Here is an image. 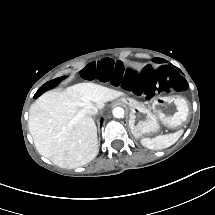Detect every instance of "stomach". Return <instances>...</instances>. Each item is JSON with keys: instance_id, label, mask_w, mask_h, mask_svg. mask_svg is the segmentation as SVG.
<instances>
[{"instance_id": "1", "label": "stomach", "mask_w": 215, "mask_h": 215, "mask_svg": "<svg viewBox=\"0 0 215 215\" xmlns=\"http://www.w3.org/2000/svg\"><path fill=\"white\" fill-rule=\"evenodd\" d=\"M119 102L130 110L129 127L136 138L156 134L161 126L180 133L189 115L187 101L177 95L159 96L151 106L126 96Z\"/></svg>"}]
</instances>
